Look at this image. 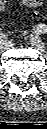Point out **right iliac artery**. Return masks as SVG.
<instances>
[{"label":"right iliac artery","instance_id":"1","mask_svg":"<svg viewBox=\"0 0 47 129\" xmlns=\"http://www.w3.org/2000/svg\"><path fill=\"white\" fill-rule=\"evenodd\" d=\"M6 36L2 33L0 34V42H5L6 41Z\"/></svg>","mask_w":47,"mask_h":129}]
</instances>
